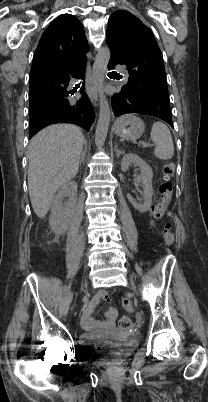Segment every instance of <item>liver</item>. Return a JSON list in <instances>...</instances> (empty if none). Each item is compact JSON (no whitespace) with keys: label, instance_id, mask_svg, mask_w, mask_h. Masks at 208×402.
<instances>
[{"label":"liver","instance_id":"liver-1","mask_svg":"<svg viewBox=\"0 0 208 402\" xmlns=\"http://www.w3.org/2000/svg\"><path fill=\"white\" fill-rule=\"evenodd\" d=\"M84 136L72 124H54L38 132L29 146L28 190L38 218H45L60 186L79 170Z\"/></svg>","mask_w":208,"mask_h":402}]
</instances>
